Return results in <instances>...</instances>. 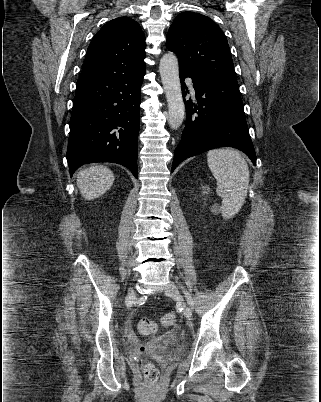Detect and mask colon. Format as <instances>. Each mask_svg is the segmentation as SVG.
Here are the masks:
<instances>
[{
  "instance_id": "1",
  "label": "colon",
  "mask_w": 321,
  "mask_h": 402,
  "mask_svg": "<svg viewBox=\"0 0 321 402\" xmlns=\"http://www.w3.org/2000/svg\"><path fill=\"white\" fill-rule=\"evenodd\" d=\"M176 321V314L170 312L163 316L162 324L164 326H172ZM157 329L156 323L148 318H143L138 322V330L144 335H151ZM142 371L147 383L155 384L159 378V371L150 361H144L142 364Z\"/></svg>"
}]
</instances>
